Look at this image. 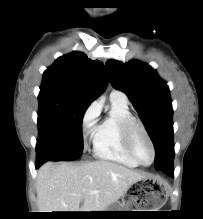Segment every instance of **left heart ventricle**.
<instances>
[{"mask_svg": "<svg viewBox=\"0 0 203 219\" xmlns=\"http://www.w3.org/2000/svg\"><path fill=\"white\" fill-rule=\"evenodd\" d=\"M134 149L138 158L143 163H150L152 160V150L151 147L145 138V136L140 132H136L134 137Z\"/></svg>", "mask_w": 203, "mask_h": 219, "instance_id": "left-heart-ventricle-1", "label": "left heart ventricle"}]
</instances>
